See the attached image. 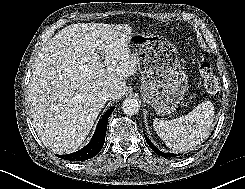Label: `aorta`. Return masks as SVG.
<instances>
[{"mask_svg":"<svg viewBox=\"0 0 245 189\" xmlns=\"http://www.w3.org/2000/svg\"><path fill=\"white\" fill-rule=\"evenodd\" d=\"M122 110L127 115H136L139 111V103L136 99L126 98L122 103Z\"/></svg>","mask_w":245,"mask_h":189,"instance_id":"obj_1","label":"aorta"}]
</instances>
